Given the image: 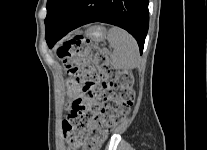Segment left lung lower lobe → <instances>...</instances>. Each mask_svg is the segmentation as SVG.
<instances>
[{"instance_id":"obj_1","label":"left lung lower lobe","mask_w":207,"mask_h":150,"mask_svg":"<svg viewBox=\"0 0 207 150\" xmlns=\"http://www.w3.org/2000/svg\"><path fill=\"white\" fill-rule=\"evenodd\" d=\"M92 22L125 29L137 40L142 54L149 25L148 0H70L46 32L47 44L51 48L71 30Z\"/></svg>"}]
</instances>
